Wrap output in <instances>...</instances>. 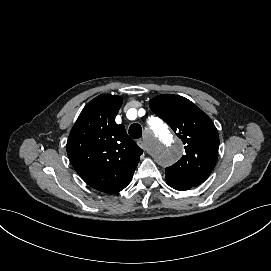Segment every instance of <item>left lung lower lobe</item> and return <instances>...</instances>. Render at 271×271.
Wrapping results in <instances>:
<instances>
[{
    "mask_svg": "<svg viewBox=\"0 0 271 271\" xmlns=\"http://www.w3.org/2000/svg\"><path fill=\"white\" fill-rule=\"evenodd\" d=\"M166 182L170 187H173L174 189L179 190V191H186L195 187V186H192L180 181H175L169 178H166Z\"/></svg>",
    "mask_w": 271,
    "mask_h": 271,
    "instance_id": "1",
    "label": "left lung lower lobe"
}]
</instances>
